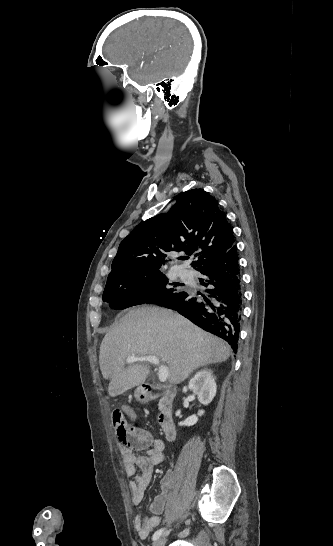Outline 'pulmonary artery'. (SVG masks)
I'll use <instances>...</instances> for the list:
<instances>
[{"instance_id": "pulmonary-artery-1", "label": "pulmonary artery", "mask_w": 333, "mask_h": 546, "mask_svg": "<svg viewBox=\"0 0 333 546\" xmlns=\"http://www.w3.org/2000/svg\"><path fill=\"white\" fill-rule=\"evenodd\" d=\"M193 273L192 271H190L189 269H181L179 271V277L183 280V281H191L193 280Z\"/></svg>"}]
</instances>
